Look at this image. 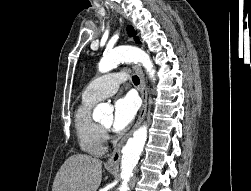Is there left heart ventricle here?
<instances>
[{
    "label": "left heart ventricle",
    "mask_w": 251,
    "mask_h": 191,
    "mask_svg": "<svg viewBox=\"0 0 251 191\" xmlns=\"http://www.w3.org/2000/svg\"><path fill=\"white\" fill-rule=\"evenodd\" d=\"M109 122H110V121H107V122L103 123V125H105V126H106L107 124H109Z\"/></svg>",
    "instance_id": "1"
}]
</instances>
